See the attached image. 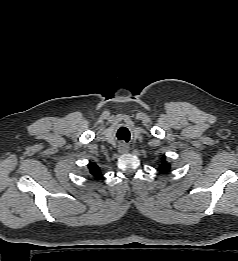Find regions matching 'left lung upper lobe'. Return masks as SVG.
Returning a JSON list of instances; mask_svg holds the SVG:
<instances>
[{
	"mask_svg": "<svg viewBox=\"0 0 238 261\" xmlns=\"http://www.w3.org/2000/svg\"><path fill=\"white\" fill-rule=\"evenodd\" d=\"M168 169H170V164H168L166 161H165V157L162 158V164L160 165L159 167V170L161 172H166Z\"/></svg>",
	"mask_w": 238,
	"mask_h": 261,
	"instance_id": "obj_1",
	"label": "left lung upper lobe"
}]
</instances>
